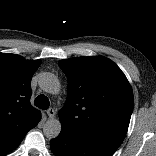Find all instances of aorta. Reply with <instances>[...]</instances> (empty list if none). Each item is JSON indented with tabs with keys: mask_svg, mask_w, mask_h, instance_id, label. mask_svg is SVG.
I'll return each instance as SVG.
<instances>
[{
	"mask_svg": "<svg viewBox=\"0 0 156 156\" xmlns=\"http://www.w3.org/2000/svg\"><path fill=\"white\" fill-rule=\"evenodd\" d=\"M39 87L46 93L55 94L60 89V84L56 76L52 73L45 72L41 74L39 81ZM61 131V122L59 119L52 118L45 122L43 126L44 135L48 139L56 138Z\"/></svg>",
	"mask_w": 156,
	"mask_h": 156,
	"instance_id": "obj_1",
	"label": "aorta"
}]
</instances>
